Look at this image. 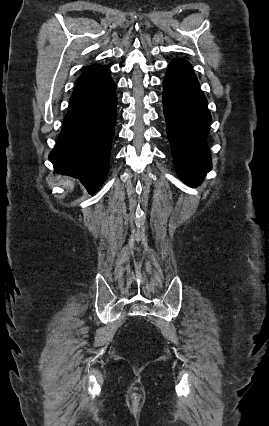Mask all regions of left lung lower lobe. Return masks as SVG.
Instances as JSON below:
<instances>
[{"instance_id": "left-lung-lower-lobe-1", "label": "left lung lower lobe", "mask_w": 269, "mask_h": 426, "mask_svg": "<svg viewBox=\"0 0 269 426\" xmlns=\"http://www.w3.org/2000/svg\"><path fill=\"white\" fill-rule=\"evenodd\" d=\"M164 116L178 176L199 184L211 169L206 144L211 115L189 62L174 59L163 80Z\"/></svg>"}]
</instances>
